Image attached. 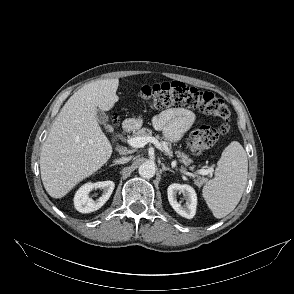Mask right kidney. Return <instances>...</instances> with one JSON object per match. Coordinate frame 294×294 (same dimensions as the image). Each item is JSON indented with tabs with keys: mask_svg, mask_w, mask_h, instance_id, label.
Returning a JSON list of instances; mask_svg holds the SVG:
<instances>
[{
	"mask_svg": "<svg viewBox=\"0 0 294 294\" xmlns=\"http://www.w3.org/2000/svg\"><path fill=\"white\" fill-rule=\"evenodd\" d=\"M115 184L113 181H102L96 183H86L80 187L74 197V205L77 211L81 213H90L100 209L106 201L110 198ZM100 188L103 190V194L96 200L90 197V192L93 189Z\"/></svg>",
	"mask_w": 294,
	"mask_h": 294,
	"instance_id": "ca27d5eb",
	"label": "right kidney"
}]
</instances>
